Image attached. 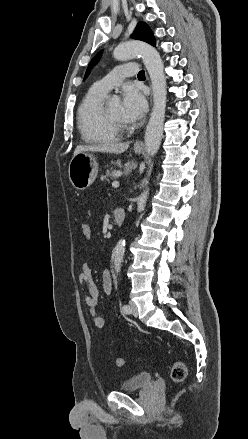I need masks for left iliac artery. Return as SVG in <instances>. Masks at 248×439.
<instances>
[{
  "instance_id": "44dca946",
  "label": "left iliac artery",
  "mask_w": 248,
  "mask_h": 439,
  "mask_svg": "<svg viewBox=\"0 0 248 439\" xmlns=\"http://www.w3.org/2000/svg\"><path fill=\"white\" fill-rule=\"evenodd\" d=\"M122 311H123L124 313H126V314H129L130 311H131L130 306L127 305V304H124V305L122 306Z\"/></svg>"
}]
</instances>
